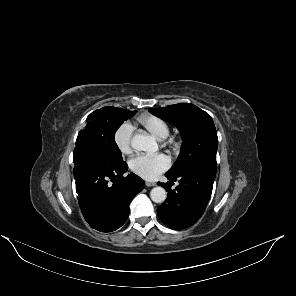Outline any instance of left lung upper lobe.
Segmentation results:
<instances>
[{"label": "left lung upper lobe", "instance_id": "1", "mask_svg": "<svg viewBox=\"0 0 296 296\" xmlns=\"http://www.w3.org/2000/svg\"><path fill=\"white\" fill-rule=\"evenodd\" d=\"M159 118L173 123L180 131L183 146L174 166L166 173L179 175L194 167L216 166L218 137L211 116L190 103L149 109Z\"/></svg>", "mask_w": 296, "mask_h": 296}]
</instances>
